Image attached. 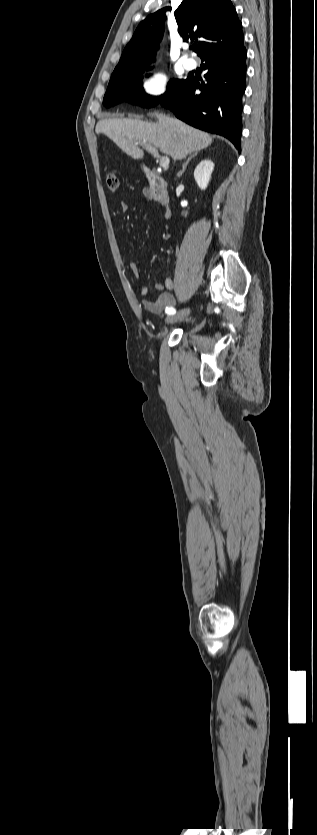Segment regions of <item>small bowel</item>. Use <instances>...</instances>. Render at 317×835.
<instances>
[{
    "instance_id": "obj_1",
    "label": "small bowel",
    "mask_w": 317,
    "mask_h": 835,
    "mask_svg": "<svg viewBox=\"0 0 317 835\" xmlns=\"http://www.w3.org/2000/svg\"><path fill=\"white\" fill-rule=\"evenodd\" d=\"M144 196H147V191H144ZM120 209L122 212H127L129 210V205L127 202L122 201L120 203ZM130 271L134 278H138L140 274V268L137 262L133 261L130 264ZM174 282L170 275H167L163 282H156L154 284V288L156 291H159L160 294L152 300L143 299L142 305L143 307L151 314L157 315L166 311V309L171 308L175 304L174 296L172 291L174 289ZM149 290L147 286H141L139 288V294L144 297L148 294Z\"/></svg>"
}]
</instances>
